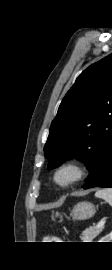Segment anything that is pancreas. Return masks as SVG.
Here are the masks:
<instances>
[{
	"instance_id": "obj_1",
	"label": "pancreas",
	"mask_w": 112,
	"mask_h": 270,
	"mask_svg": "<svg viewBox=\"0 0 112 270\" xmlns=\"http://www.w3.org/2000/svg\"><path fill=\"white\" fill-rule=\"evenodd\" d=\"M104 229V227H89L87 229H85L81 236H80V239L82 240V242H92V240L97 236L99 235L102 230Z\"/></svg>"
}]
</instances>
